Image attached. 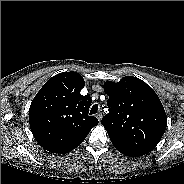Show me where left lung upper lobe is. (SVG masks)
Wrapping results in <instances>:
<instances>
[{
  "mask_svg": "<svg viewBox=\"0 0 184 184\" xmlns=\"http://www.w3.org/2000/svg\"><path fill=\"white\" fill-rule=\"evenodd\" d=\"M104 91L109 96V113L101 123L112 144L141 154L151 152L167 126L165 110L155 91L133 76H125L117 83L105 82Z\"/></svg>",
  "mask_w": 184,
  "mask_h": 184,
  "instance_id": "obj_1",
  "label": "left lung upper lobe"
}]
</instances>
